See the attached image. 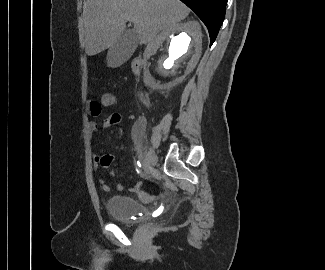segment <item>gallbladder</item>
Returning a JSON list of instances; mask_svg holds the SVG:
<instances>
[{
  "label": "gallbladder",
  "mask_w": 325,
  "mask_h": 270,
  "mask_svg": "<svg viewBox=\"0 0 325 270\" xmlns=\"http://www.w3.org/2000/svg\"><path fill=\"white\" fill-rule=\"evenodd\" d=\"M139 44L138 36L134 30H127L110 47L107 54V64L117 67L126 62Z\"/></svg>",
  "instance_id": "1"
}]
</instances>
